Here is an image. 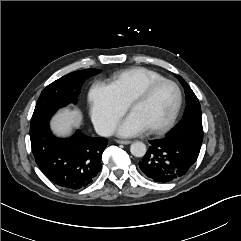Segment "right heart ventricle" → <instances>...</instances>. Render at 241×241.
<instances>
[{
	"label": "right heart ventricle",
	"mask_w": 241,
	"mask_h": 241,
	"mask_svg": "<svg viewBox=\"0 0 241 241\" xmlns=\"http://www.w3.org/2000/svg\"><path fill=\"white\" fill-rule=\"evenodd\" d=\"M161 79H164V77L153 70L134 67L117 73L113 77L111 85L119 97L129 104L131 99L145 86Z\"/></svg>",
	"instance_id": "1"
}]
</instances>
